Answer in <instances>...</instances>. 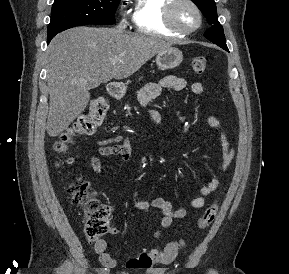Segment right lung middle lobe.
I'll return each mask as SVG.
<instances>
[{
  "instance_id": "obj_1",
  "label": "right lung middle lobe",
  "mask_w": 289,
  "mask_h": 274,
  "mask_svg": "<svg viewBox=\"0 0 289 274\" xmlns=\"http://www.w3.org/2000/svg\"><path fill=\"white\" fill-rule=\"evenodd\" d=\"M120 0H55L48 25V43L59 32L84 24L115 23Z\"/></svg>"
}]
</instances>
